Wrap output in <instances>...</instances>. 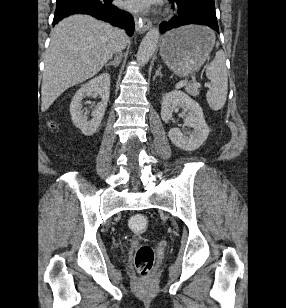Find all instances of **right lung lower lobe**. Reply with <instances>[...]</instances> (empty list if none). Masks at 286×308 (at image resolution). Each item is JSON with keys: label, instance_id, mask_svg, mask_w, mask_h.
<instances>
[{"label": "right lung lower lobe", "instance_id": "right-lung-lower-lobe-1", "mask_svg": "<svg viewBox=\"0 0 286 308\" xmlns=\"http://www.w3.org/2000/svg\"><path fill=\"white\" fill-rule=\"evenodd\" d=\"M72 14H88L122 26L129 36L134 32L132 15L114 6L112 0H57L53 24Z\"/></svg>", "mask_w": 286, "mask_h": 308}]
</instances>
